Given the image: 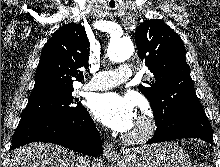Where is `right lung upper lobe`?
<instances>
[{"label": "right lung upper lobe", "instance_id": "cb5924a9", "mask_svg": "<svg viewBox=\"0 0 220 167\" xmlns=\"http://www.w3.org/2000/svg\"><path fill=\"white\" fill-rule=\"evenodd\" d=\"M89 42L85 28L70 23L61 27L45 44L35 74L30 99L73 88L81 81V67H88Z\"/></svg>", "mask_w": 220, "mask_h": 167}]
</instances>
